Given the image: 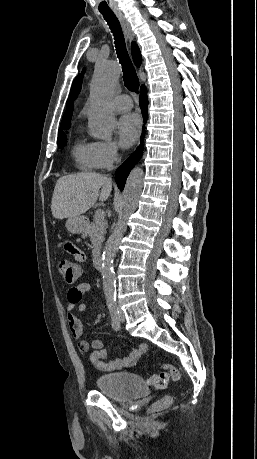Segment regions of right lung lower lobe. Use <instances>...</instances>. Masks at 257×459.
Segmentation results:
<instances>
[{
    "mask_svg": "<svg viewBox=\"0 0 257 459\" xmlns=\"http://www.w3.org/2000/svg\"><path fill=\"white\" fill-rule=\"evenodd\" d=\"M148 99H147V91L145 86L141 87L140 92V108L143 114L144 122H146L148 117ZM143 137L144 131L141 138V144L137 147L136 151L116 170L115 179L118 185V188L122 191L125 186V181L131 171V169L136 165V163L140 160L142 153H143Z\"/></svg>",
    "mask_w": 257,
    "mask_h": 459,
    "instance_id": "1",
    "label": "right lung lower lobe"
}]
</instances>
